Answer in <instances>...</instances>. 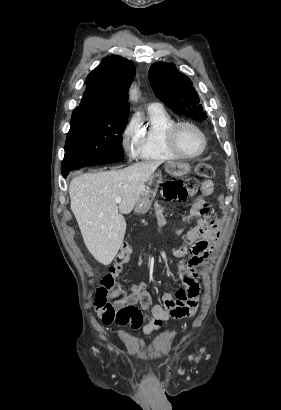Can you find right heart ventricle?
Returning <instances> with one entry per match:
<instances>
[{
	"label": "right heart ventricle",
	"mask_w": 281,
	"mask_h": 410,
	"mask_svg": "<svg viewBox=\"0 0 281 410\" xmlns=\"http://www.w3.org/2000/svg\"><path fill=\"white\" fill-rule=\"evenodd\" d=\"M175 122L161 105L149 107L146 119L140 123L137 157L157 162L179 159L167 142V132Z\"/></svg>",
	"instance_id": "obj_1"
}]
</instances>
